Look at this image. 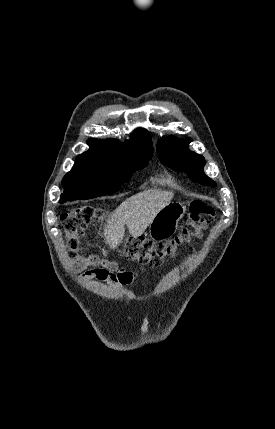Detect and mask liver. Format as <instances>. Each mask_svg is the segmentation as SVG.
Returning a JSON list of instances; mask_svg holds the SVG:
<instances>
[{"instance_id":"1","label":"liver","mask_w":275,"mask_h":429,"mask_svg":"<svg viewBox=\"0 0 275 429\" xmlns=\"http://www.w3.org/2000/svg\"><path fill=\"white\" fill-rule=\"evenodd\" d=\"M173 193L162 190H147L122 202L109 216L104 230L105 243L115 249L122 242L125 225L129 233L140 236L150 225L156 214L167 206Z\"/></svg>"}]
</instances>
